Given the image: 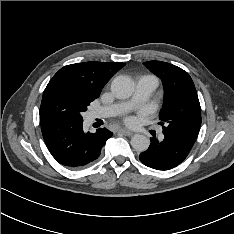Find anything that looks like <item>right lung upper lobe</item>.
Wrapping results in <instances>:
<instances>
[{
	"mask_svg": "<svg viewBox=\"0 0 234 234\" xmlns=\"http://www.w3.org/2000/svg\"><path fill=\"white\" fill-rule=\"evenodd\" d=\"M124 63L85 62L61 68L48 84H60L86 98L96 99L103 86Z\"/></svg>",
	"mask_w": 234,
	"mask_h": 234,
	"instance_id": "right-lung-upper-lobe-1",
	"label": "right lung upper lobe"
}]
</instances>
